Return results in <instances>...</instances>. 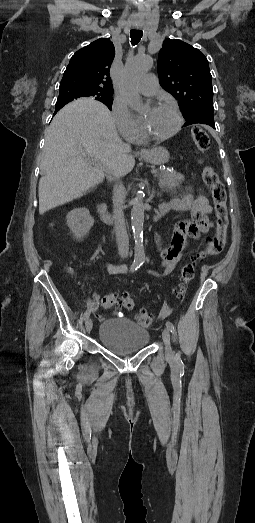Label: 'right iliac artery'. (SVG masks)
<instances>
[{"mask_svg": "<svg viewBox=\"0 0 255 523\" xmlns=\"http://www.w3.org/2000/svg\"><path fill=\"white\" fill-rule=\"evenodd\" d=\"M140 266H141V263L139 261H134L131 265L130 270L136 271ZM89 316H90V310L88 309L84 313V320H87L89 318Z\"/></svg>", "mask_w": 255, "mask_h": 523, "instance_id": "obj_1", "label": "right iliac artery"}]
</instances>
